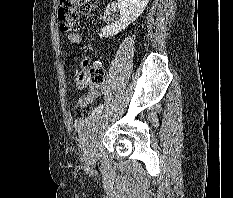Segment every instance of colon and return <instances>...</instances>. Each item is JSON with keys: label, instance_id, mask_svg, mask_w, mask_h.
I'll return each instance as SVG.
<instances>
[{"label": "colon", "instance_id": "obj_1", "mask_svg": "<svg viewBox=\"0 0 233 198\" xmlns=\"http://www.w3.org/2000/svg\"><path fill=\"white\" fill-rule=\"evenodd\" d=\"M96 0H59L58 19L60 28L67 41L77 44L80 41L78 27L79 13L87 14L95 7ZM104 81V70L101 66L95 65L78 75V82L86 86L90 91L97 89Z\"/></svg>", "mask_w": 233, "mask_h": 198}]
</instances>
